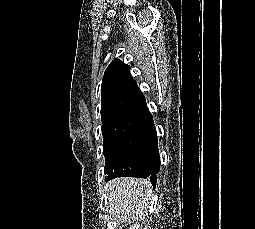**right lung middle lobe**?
<instances>
[{"mask_svg":"<svg viewBox=\"0 0 255 229\" xmlns=\"http://www.w3.org/2000/svg\"><path fill=\"white\" fill-rule=\"evenodd\" d=\"M105 174L146 168L157 143L156 133L128 116H117L102 125Z\"/></svg>","mask_w":255,"mask_h":229,"instance_id":"obj_1","label":"right lung middle lobe"}]
</instances>
